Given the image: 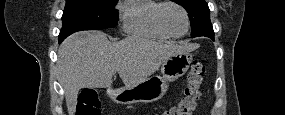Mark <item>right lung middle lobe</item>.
<instances>
[{
  "label": "right lung middle lobe",
  "instance_id": "1",
  "mask_svg": "<svg viewBox=\"0 0 285 115\" xmlns=\"http://www.w3.org/2000/svg\"><path fill=\"white\" fill-rule=\"evenodd\" d=\"M118 0H66L62 15L63 26L59 43L70 34L81 30L112 28L117 24Z\"/></svg>",
  "mask_w": 285,
  "mask_h": 115
}]
</instances>
